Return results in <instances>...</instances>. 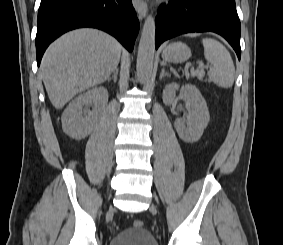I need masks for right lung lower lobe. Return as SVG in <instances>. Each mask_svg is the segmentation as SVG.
<instances>
[{
	"label": "right lung lower lobe",
	"instance_id": "98d812e1",
	"mask_svg": "<svg viewBox=\"0 0 283 245\" xmlns=\"http://www.w3.org/2000/svg\"><path fill=\"white\" fill-rule=\"evenodd\" d=\"M80 27L101 29L132 51L139 21L131 0H41L36 35L38 66L52 41Z\"/></svg>",
	"mask_w": 283,
	"mask_h": 245
}]
</instances>
